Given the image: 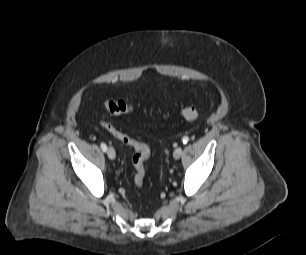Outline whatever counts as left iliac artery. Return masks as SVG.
I'll return each mask as SVG.
<instances>
[{
    "instance_id": "left-iliac-artery-1",
    "label": "left iliac artery",
    "mask_w": 306,
    "mask_h": 255,
    "mask_svg": "<svg viewBox=\"0 0 306 255\" xmlns=\"http://www.w3.org/2000/svg\"><path fill=\"white\" fill-rule=\"evenodd\" d=\"M188 141H189V138L187 136L183 137L182 139L183 144L188 143Z\"/></svg>"
}]
</instances>
